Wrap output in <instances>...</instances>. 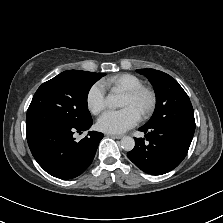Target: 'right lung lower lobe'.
Returning <instances> with one entry per match:
<instances>
[{
	"instance_id": "right-lung-lower-lobe-1",
	"label": "right lung lower lobe",
	"mask_w": 223,
	"mask_h": 223,
	"mask_svg": "<svg viewBox=\"0 0 223 223\" xmlns=\"http://www.w3.org/2000/svg\"><path fill=\"white\" fill-rule=\"evenodd\" d=\"M93 121L82 125H56L27 132L31 153L50 175L60 179L75 178L91 164L103 134L88 132V137L75 142L74 132L88 130Z\"/></svg>"
}]
</instances>
